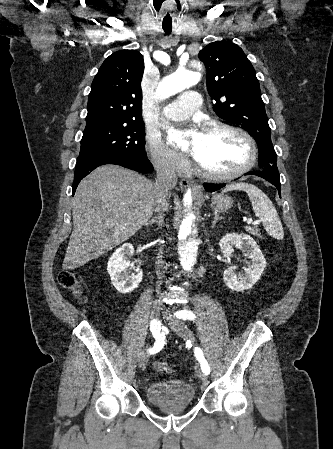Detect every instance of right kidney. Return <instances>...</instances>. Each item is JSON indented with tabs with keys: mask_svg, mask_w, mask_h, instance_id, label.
<instances>
[{
	"mask_svg": "<svg viewBox=\"0 0 333 449\" xmlns=\"http://www.w3.org/2000/svg\"><path fill=\"white\" fill-rule=\"evenodd\" d=\"M132 244H124L118 248L109 258L107 270L113 286L119 293L127 294L137 288L142 281L143 272L137 269L134 274L128 270L130 256L133 255Z\"/></svg>",
	"mask_w": 333,
	"mask_h": 449,
	"instance_id": "right-kidney-1",
	"label": "right kidney"
}]
</instances>
